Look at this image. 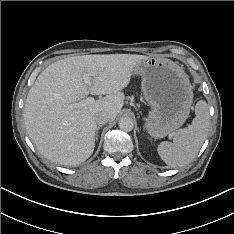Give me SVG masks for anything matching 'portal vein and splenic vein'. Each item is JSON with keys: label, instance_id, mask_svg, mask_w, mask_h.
<instances>
[{"label": "portal vein and splenic vein", "instance_id": "1", "mask_svg": "<svg viewBox=\"0 0 234 234\" xmlns=\"http://www.w3.org/2000/svg\"><path fill=\"white\" fill-rule=\"evenodd\" d=\"M83 80H84V83L87 84L88 86L91 85L90 74H87V73L83 74ZM93 102H94V98L93 97H88V98H86L85 100H82L79 103L70 104L69 108L70 109L81 108V107L86 106L88 104H91Z\"/></svg>", "mask_w": 234, "mask_h": 234}]
</instances>
